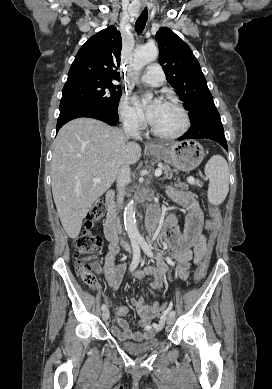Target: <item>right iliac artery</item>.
<instances>
[{
	"instance_id": "1",
	"label": "right iliac artery",
	"mask_w": 272,
	"mask_h": 389,
	"mask_svg": "<svg viewBox=\"0 0 272 389\" xmlns=\"http://www.w3.org/2000/svg\"><path fill=\"white\" fill-rule=\"evenodd\" d=\"M132 246H133V259H132V262H131L130 267H129V270H130L131 272L134 271V270L137 268V266H138V264H139V262H140V247H139V243L134 242V243L132 244ZM106 308H107V306H106L105 304H103V305L101 306V309H102L103 311H104Z\"/></svg>"
}]
</instances>
